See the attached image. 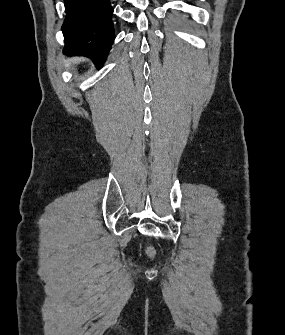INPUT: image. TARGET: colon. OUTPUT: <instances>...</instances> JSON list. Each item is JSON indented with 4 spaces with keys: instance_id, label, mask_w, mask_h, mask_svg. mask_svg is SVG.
Segmentation results:
<instances>
[{
    "instance_id": "obj_1",
    "label": "colon",
    "mask_w": 285,
    "mask_h": 335,
    "mask_svg": "<svg viewBox=\"0 0 285 335\" xmlns=\"http://www.w3.org/2000/svg\"><path fill=\"white\" fill-rule=\"evenodd\" d=\"M154 253H155V252H154V249H153L152 247H148V248H147V254H148V255L152 256V255H154Z\"/></svg>"
}]
</instances>
